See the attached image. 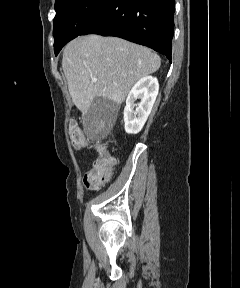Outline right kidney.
Here are the masks:
<instances>
[{
    "label": "right kidney",
    "instance_id": "1",
    "mask_svg": "<svg viewBox=\"0 0 240 288\" xmlns=\"http://www.w3.org/2000/svg\"><path fill=\"white\" fill-rule=\"evenodd\" d=\"M159 91L157 78L147 76L141 78L131 89L124 108L125 131L128 134H137L144 126ZM141 102L136 109L135 101Z\"/></svg>",
    "mask_w": 240,
    "mask_h": 288
}]
</instances>
